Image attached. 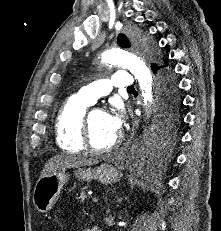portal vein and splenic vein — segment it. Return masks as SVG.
<instances>
[{
    "instance_id": "portal-vein-and-splenic-vein-1",
    "label": "portal vein and splenic vein",
    "mask_w": 221,
    "mask_h": 231,
    "mask_svg": "<svg viewBox=\"0 0 221 231\" xmlns=\"http://www.w3.org/2000/svg\"><path fill=\"white\" fill-rule=\"evenodd\" d=\"M92 201H93V202H98V197H97V196H93V197H92Z\"/></svg>"
}]
</instances>
